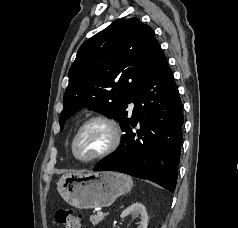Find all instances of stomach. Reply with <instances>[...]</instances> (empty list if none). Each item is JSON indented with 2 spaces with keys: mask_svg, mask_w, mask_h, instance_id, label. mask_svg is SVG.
I'll return each mask as SVG.
<instances>
[{
  "mask_svg": "<svg viewBox=\"0 0 238 228\" xmlns=\"http://www.w3.org/2000/svg\"><path fill=\"white\" fill-rule=\"evenodd\" d=\"M61 197L79 209L110 206L132 188L131 177L119 172H70L58 180Z\"/></svg>",
  "mask_w": 238,
  "mask_h": 228,
  "instance_id": "obj_1",
  "label": "stomach"
}]
</instances>
